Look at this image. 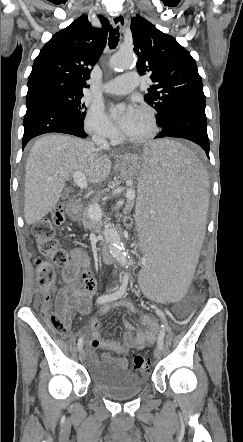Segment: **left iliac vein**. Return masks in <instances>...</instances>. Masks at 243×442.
Returning <instances> with one entry per match:
<instances>
[{"label": "left iliac vein", "mask_w": 243, "mask_h": 442, "mask_svg": "<svg viewBox=\"0 0 243 442\" xmlns=\"http://www.w3.org/2000/svg\"><path fill=\"white\" fill-rule=\"evenodd\" d=\"M154 357L159 360L161 358V350L159 348H156L154 351Z\"/></svg>", "instance_id": "obj_1"}]
</instances>
